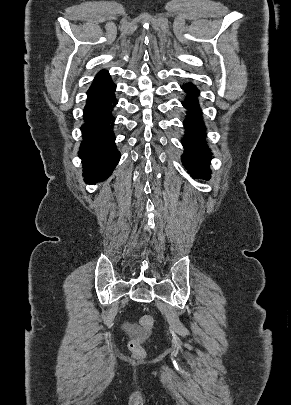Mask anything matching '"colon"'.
<instances>
[{
  "label": "colon",
  "instance_id": "colon-1",
  "mask_svg": "<svg viewBox=\"0 0 291 405\" xmlns=\"http://www.w3.org/2000/svg\"><path fill=\"white\" fill-rule=\"evenodd\" d=\"M154 326V318L151 315H144L140 319L139 334L129 342V348L136 358H143L145 351L141 346V342L151 332Z\"/></svg>",
  "mask_w": 291,
  "mask_h": 405
}]
</instances>
